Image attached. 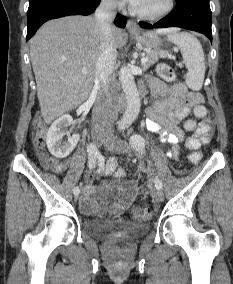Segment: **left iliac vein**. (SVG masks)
<instances>
[{
  "label": "left iliac vein",
  "instance_id": "1",
  "mask_svg": "<svg viewBox=\"0 0 233 284\" xmlns=\"http://www.w3.org/2000/svg\"><path fill=\"white\" fill-rule=\"evenodd\" d=\"M104 145L107 149L119 154H126L130 151V146L128 145V143L115 137H108ZM153 197L156 201L162 202L164 199V193L161 189H154Z\"/></svg>",
  "mask_w": 233,
  "mask_h": 284
}]
</instances>
